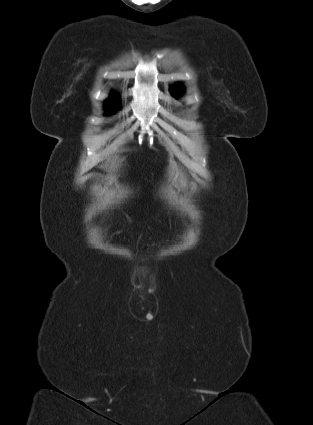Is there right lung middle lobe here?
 Wrapping results in <instances>:
<instances>
[{"label": "right lung middle lobe", "mask_w": 313, "mask_h": 425, "mask_svg": "<svg viewBox=\"0 0 313 425\" xmlns=\"http://www.w3.org/2000/svg\"><path fill=\"white\" fill-rule=\"evenodd\" d=\"M118 105L115 102H107L106 109L108 110V114L114 113L118 109Z\"/></svg>", "instance_id": "1"}]
</instances>
